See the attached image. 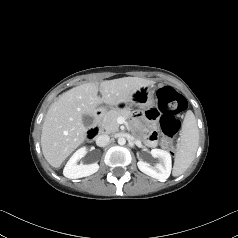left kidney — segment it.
Wrapping results in <instances>:
<instances>
[{
    "label": "left kidney",
    "mask_w": 238,
    "mask_h": 238,
    "mask_svg": "<svg viewBox=\"0 0 238 238\" xmlns=\"http://www.w3.org/2000/svg\"><path fill=\"white\" fill-rule=\"evenodd\" d=\"M151 155L154 158H158L159 163L155 166H151L147 162L139 161L137 163L139 170L160 181H165L170 176L172 169L170 153L161 149H152Z\"/></svg>",
    "instance_id": "obj_1"
}]
</instances>
